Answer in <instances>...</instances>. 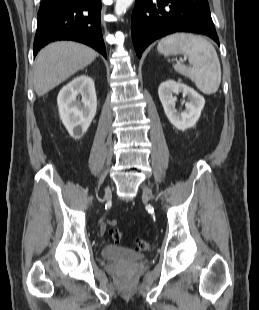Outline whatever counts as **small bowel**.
I'll list each match as a JSON object with an SVG mask.
<instances>
[{"instance_id": "c3829d8e", "label": "small bowel", "mask_w": 259, "mask_h": 310, "mask_svg": "<svg viewBox=\"0 0 259 310\" xmlns=\"http://www.w3.org/2000/svg\"><path fill=\"white\" fill-rule=\"evenodd\" d=\"M104 230H105V227L102 226V227H101V232H104Z\"/></svg>"}]
</instances>
